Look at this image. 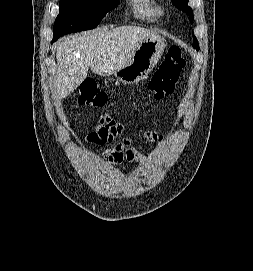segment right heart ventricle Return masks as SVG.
Returning <instances> with one entry per match:
<instances>
[{
	"mask_svg": "<svg viewBox=\"0 0 253 271\" xmlns=\"http://www.w3.org/2000/svg\"><path fill=\"white\" fill-rule=\"evenodd\" d=\"M136 14L151 20L158 21L164 16L162 7L155 0H131Z\"/></svg>",
	"mask_w": 253,
	"mask_h": 271,
	"instance_id": "obj_1",
	"label": "right heart ventricle"
}]
</instances>
